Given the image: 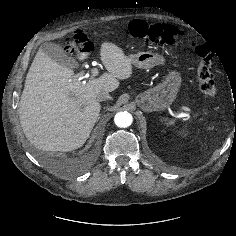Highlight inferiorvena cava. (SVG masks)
<instances>
[{"label": "inferior vena cava", "instance_id": "inferior-vena-cava-1", "mask_svg": "<svg viewBox=\"0 0 236 236\" xmlns=\"http://www.w3.org/2000/svg\"><path fill=\"white\" fill-rule=\"evenodd\" d=\"M109 99H111V96L107 92H100L99 94H97V100L99 102L106 101Z\"/></svg>", "mask_w": 236, "mask_h": 236}]
</instances>
